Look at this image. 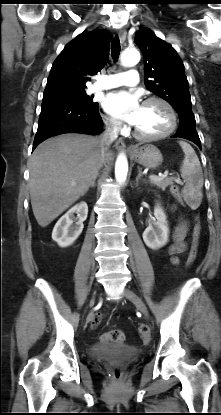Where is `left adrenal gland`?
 Returning a JSON list of instances; mask_svg holds the SVG:
<instances>
[{
	"instance_id": "a2214340",
	"label": "left adrenal gland",
	"mask_w": 221,
	"mask_h": 415,
	"mask_svg": "<svg viewBox=\"0 0 221 415\" xmlns=\"http://www.w3.org/2000/svg\"><path fill=\"white\" fill-rule=\"evenodd\" d=\"M141 177H142L141 169L138 168V175L136 177V186H138V182H139V180H141ZM143 181H145V180H143Z\"/></svg>"
}]
</instances>
